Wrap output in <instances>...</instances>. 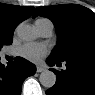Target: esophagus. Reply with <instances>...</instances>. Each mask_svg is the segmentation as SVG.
<instances>
[{
	"instance_id": "34e87169",
	"label": "esophagus",
	"mask_w": 95,
	"mask_h": 95,
	"mask_svg": "<svg viewBox=\"0 0 95 95\" xmlns=\"http://www.w3.org/2000/svg\"><path fill=\"white\" fill-rule=\"evenodd\" d=\"M45 70V68L44 67H41V66H37V68H36V71L38 72V73H40V72H42V71H44Z\"/></svg>"
}]
</instances>
